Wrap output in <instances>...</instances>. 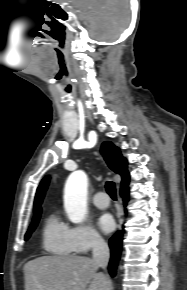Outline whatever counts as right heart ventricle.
Instances as JSON below:
<instances>
[{"instance_id": "1", "label": "right heart ventricle", "mask_w": 187, "mask_h": 290, "mask_svg": "<svg viewBox=\"0 0 187 290\" xmlns=\"http://www.w3.org/2000/svg\"><path fill=\"white\" fill-rule=\"evenodd\" d=\"M42 242L44 249L53 255L69 256L74 252L70 240V228L56 213H51L45 220Z\"/></svg>"}]
</instances>
